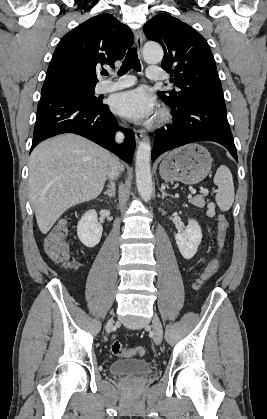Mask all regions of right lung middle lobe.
<instances>
[{"label": "right lung middle lobe", "mask_w": 267, "mask_h": 419, "mask_svg": "<svg viewBox=\"0 0 267 419\" xmlns=\"http://www.w3.org/2000/svg\"><path fill=\"white\" fill-rule=\"evenodd\" d=\"M94 88L95 86L84 87V86H77V85H67V86L61 87L57 91L75 96L89 104L98 105L101 103V100H99L97 97L94 96Z\"/></svg>", "instance_id": "obj_1"}]
</instances>
